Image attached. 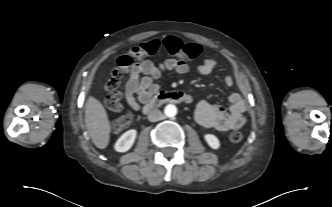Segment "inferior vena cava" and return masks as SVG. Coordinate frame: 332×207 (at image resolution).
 <instances>
[{
    "mask_svg": "<svg viewBox=\"0 0 332 207\" xmlns=\"http://www.w3.org/2000/svg\"><path fill=\"white\" fill-rule=\"evenodd\" d=\"M163 117L162 113L158 109L151 110L148 114V120L151 122H156L161 120Z\"/></svg>",
    "mask_w": 332,
    "mask_h": 207,
    "instance_id": "602c4592",
    "label": "inferior vena cava"
}]
</instances>
